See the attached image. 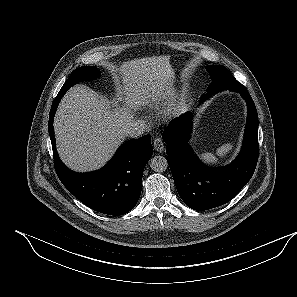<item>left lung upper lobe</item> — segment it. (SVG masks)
Here are the masks:
<instances>
[{
	"mask_svg": "<svg viewBox=\"0 0 297 297\" xmlns=\"http://www.w3.org/2000/svg\"><path fill=\"white\" fill-rule=\"evenodd\" d=\"M207 72L210 74L212 83L207 88V94L202 95L203 98L211 96L220 90H230L240 92L246 88L239 83L235 77L222 65H210L206 67Z\"/></svg>",
	"mask_w": 297,
	"mask_h": 297,
	"instance_id": "1",
	"label": "left lung upper lobe"
}]
</instances>
